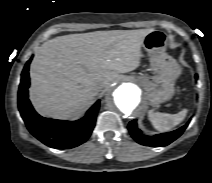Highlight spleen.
Here are the masks:
<instances>
[{
  "label": "spleen",
  "mask_w": 212,
  "mask_h": 183,
  "mask_svg": "<svg viewBox=\"0 0 212 183\" xmlns=\"http://www.w3.org/2000/svg\"><path fill=\"white\" fill-rule=\"evenodd\" d=\"M187 115V109H183L177 114L160 113L149 110L148 118L153 127L161 132L169 131L176 125L180 124Z\"/></svg>",
  "instance_id": "spleen-1"
}]
</instances>
